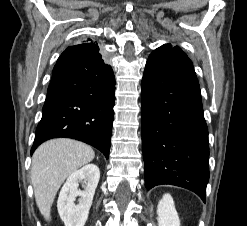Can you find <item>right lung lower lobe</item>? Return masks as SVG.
<instances>
[{"instance_id": "right-lung-lower-lobe-1", "label": "right lung lower lobe", "mask_w": 247, "mask_h": 226, "mask_svg": "<svg viewBox=\"0 0 247 226\" xmlns=\"http://www.w3.org/2000/svg\"><path fill=\"white\" fill-rule=\"evenodd\" d=\"M115 78L94 43L68 47L58 58L31 154L44 141L66 137L109 156Z\"/></svg>"}]
</instances>
